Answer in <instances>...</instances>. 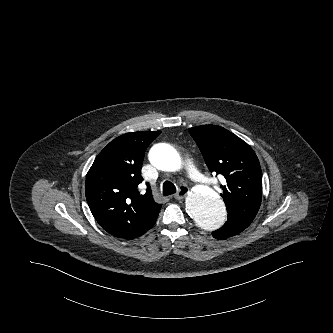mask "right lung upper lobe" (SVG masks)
I'll list each match as a JSON object with an SVG mask.
<instances>
[{
  "label": "right lung upper lobe",
  "mask_w": 333,
  "mask_h": 333,
  "mask_svg": "<svg viewBox=\"0 0 333 333\" xmlns=\"http://www.w3.org/2000/svg\"><path fill=\"white\" fill-rule=\"evenodd\" d=\"M159 134L140 131L117 137L99 153L87 173L85 192L90 210L100 226L116 237L140 236L161 209L149 188L143 195L138 192L145 150Z\"/></svg>",
  "instance_id": "obj_1"
}]
</instances>
